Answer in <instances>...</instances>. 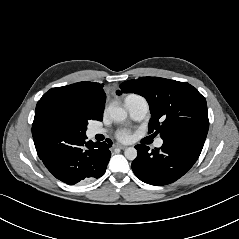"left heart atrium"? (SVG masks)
<instances>
[{"instance_id":"1","label":"left heart atrium","mask_w":239,"mask_h":239,"mask_svg":"<svg viewBox=\"0 0 239 239\" xmlns=\"http://www.w3.org/2000/svg\"><path fill=\"white\" fill-rule=\"evenodd\" d=\"M116 136L121 141H128L131 138V132L128 129H120Z\"/></svg>"}]
</instances>
